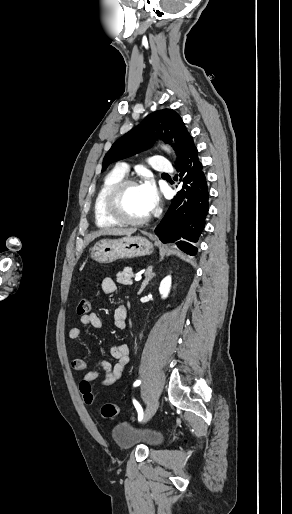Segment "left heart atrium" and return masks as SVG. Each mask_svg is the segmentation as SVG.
Instances as JSON below:
<instances>
[{
  "mask_svg": "<svg viewBox=\"0 0 292 514\" xmlns=\"http://www.w3.org/2000/svg\"><path fill=\"white\" fill-rule=\"evenodd\" d=\"M139 190L146 203L148 211L155 209L158 204V192L154 181L150 177L145 178V180L139 185Z\"/></svg>",
  "mask_w": 292,
  "mask_h": 514,
  "instance_id": "39dd6f15",
  "label": "left heart atrium"
}]
</instances>
